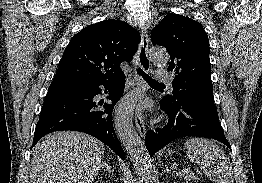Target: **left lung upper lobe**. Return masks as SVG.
<instances>
[{
  "label": "left lung upper lobe",
  "instance_id": "1",
  "mask_svg": "<svg viewBox=\"0 0 262 183\" xmlns=\"http://www.w3.org/2000/svg\"><path fill=\"white\" fill-rule=\"evenodd\" d=\"M153 44L162 45L170 54L168 71L176 74L172 95L163 98L214 103L209 59V40L202 25L179 14H167L152 30Z\"/></svg>",
  "mask_w": 262,
  "mask_h": 183
}]
</instances>
